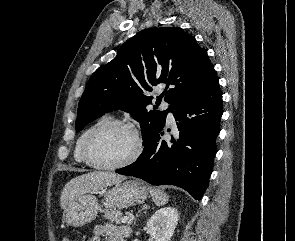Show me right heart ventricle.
<instances>
[{"label": "right heart ventricle", "mask_w": 295, "mask_h": 241, "mask_svg": "<svg viewBox=\"0 0 295 241\" xmlns=\"http://www.w3.org/2000/svg\"><path fill=\"white\" fill-rule=\"evenodd\" d=\"M112 120V117L110 115H103L96 119L93 123H91L87 128L83 130V132L79 135V137L76 140L75 147H74V160L77 164L80 165H86V162L83 158V147L84 144L89 137V135L92 133V131L97 128L99 125Z\"/></svg>", "instance_id": "1"}]
</instances>
